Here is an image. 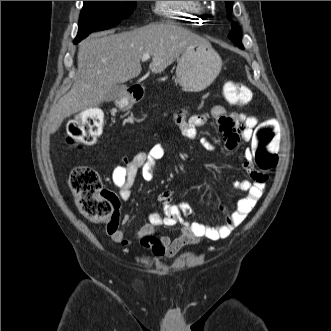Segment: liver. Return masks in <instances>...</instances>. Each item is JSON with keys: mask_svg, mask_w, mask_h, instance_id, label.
Here are the masks:
<instances>
[{"mask_svg": "<svg viewBox=\"0 0 331 331\" xmlns=\"http://www.w3.org/2000/svg\"><path fill=\"white\" fill-rule=\"evenodd\" d=\"M204 38L174 23H153L131 31L93 34L80 43L78 71L71 90L51 107L47 132L54 134L63 120L81 110L98 107L113 85L133 79L142 71L144 54L152 56L150 70L157 74L184 50Z\"/></svg>", "mask_w": 331, "mask_h": 331, "instance_id": "obj_1", "label": "liver"}]
</instances>
